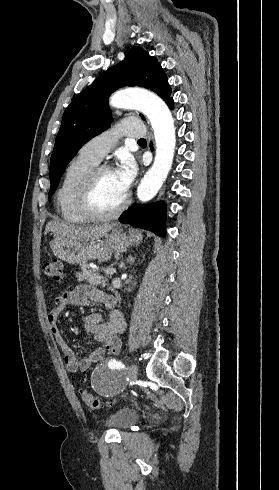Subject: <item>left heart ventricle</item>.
<instances>
[{
  "instance_id": "obj_1",
  "label": "left heart ventricle",
  "mask_w": 279,
  "mask_h": 490,
  "mask_svg": "<svg viewBox=\"0 0 279 490\" xmlns=\"http://www.w3.org/2000/svg\"><path fill=\"white\" fill-rule=\"evenodd\" d=\"M125 198L119 192L113 171H107L100 175L95 196L96 206L108 212L116 208Z\"/></svg>"
}]
</instances>
